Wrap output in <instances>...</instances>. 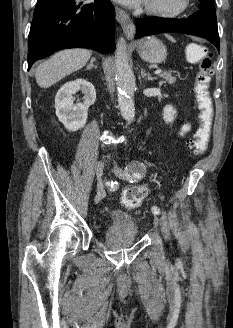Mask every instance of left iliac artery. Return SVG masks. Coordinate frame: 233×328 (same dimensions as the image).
Segmentation results:
<instances>
[{
  "instance_id": "left-iliac-artery-1",
  "label": "left iliac artery",
  "mask_w": 233,
  "mask_h": 328,
  "mask_svg": "<svg viewBox=\"0 0 233 328\" xmlns=\"http://www.w3.org/2000/svg\"><path fill=\"white\" fill-rule=\"evenodd\" d=\"M141 177H142L141 173L136 172L133 174V178L131 179V182H134L137 179H140ZM151 210L155 215H158L160 213V209L157 206H153Z\"/></svg>"
}]
</instances>
